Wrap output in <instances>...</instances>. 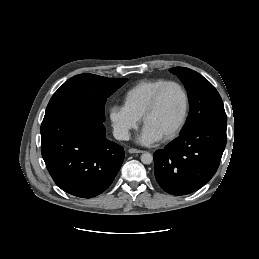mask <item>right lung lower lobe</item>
Instances as JSON below:
<instances>
[{"label":"right lung lower lobe","mask_w":259,"mask_h":259,"mask_svg":"<svg viewBox=\"0 0 259 259\" xmlns=\"http://www.w3.org/2000/svg\"><path fill=\"white\" fill-rule=\"evenodd\" d=\"M40 132L41 154L62 190L92 198L111 185L125 154L123 147L106 139L101 120L68 112L43 121Z\"/></svg>","instance_id":"right-lung-lower-lobe-1"}]
</instances>
